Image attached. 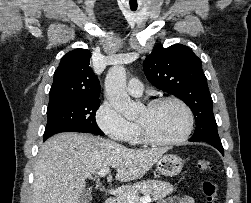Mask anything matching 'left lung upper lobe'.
<instances>
[{
	"mask_svg": "<svg viewBox=\"0 0 251 203\" xmlns=\"http://www.w3.org/2000/svg\"><path fill=\"white\" fill-rule=\"evenodd\" d=\"M148 81L184 101L192 110L196 129L193 141L221 142L213 114V101L201 60L181 44L163 48L158 44L143 62Z\"/></svg>",
	"mask_w": 251,
	"mask_h": 203,
	"instance_id": "obj_1",
	"label": "left lung upper lobe"
}]
</instances>
